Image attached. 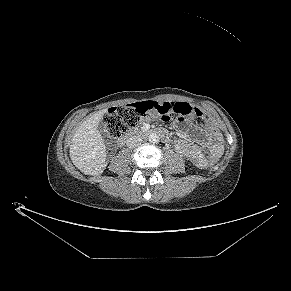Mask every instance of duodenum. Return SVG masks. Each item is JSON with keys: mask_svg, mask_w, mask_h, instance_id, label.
Instances as JSON below:
<instances>
[{"mask_svg": "<svg viewBox=\"0 0 291 291\" xmlns=\"http://www.w3.org/2000/svg\"><path fill=\"white\" fill-rule=\"evenodd\" d=\"M147 132H145V131H140V132H138V133H130V134H128L127 136H125V137H123V138H121L119 141H118V144L119 145H124L129 139H131V138H133L136 134L137 135H145ZM157 133H159V134H163V132L162 131H160V130H158L157 131Z\"/></svg>", "mask_w": 291, "mask_h": 291, "instance_id": "duodenum-1", "label": "duodenum"}]
</instances>
